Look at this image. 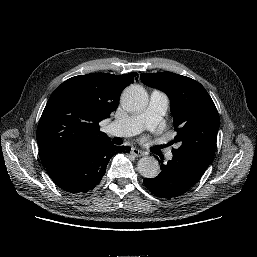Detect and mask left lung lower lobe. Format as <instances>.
Wrapping results in <instances>:
<instances>
[{"mask_svg":"<svg viewBox=\"0 0 257 257\" xmlns=\"http://www.w3.org/2000/svg\"><path fill=\"white\" fill-rule=\"evenodd\" d=\"M173 158L161 163V173L152 179H144V185L154 195L162 198L180 196L193 187L204 174L209 162L188 152L172 151Z\"/></svg>","mask_w":257,"mask_h":257,"instance_id":"obj_1","label":"left lung lower lobe"}]
</instances>
